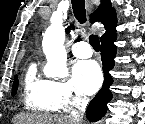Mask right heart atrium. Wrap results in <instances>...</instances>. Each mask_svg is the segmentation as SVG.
I'll list each match as a JSON object with an SVG mask.
<instances>
[{
  "label": "right heart atrium",
  "mask_w": 145,
  "mask_h": 124,
  "mask_svg": "<svg viewBox=\"0 0 145 124\" xmlns=\"http://www.w3.org/2000/svg\"><path fill=\"white\" fill-rule=\"evenodd\" d=\"M51 99L59 111L69 112L86 103V96L72 79L49 80Z\"/></svg>",
  "instance_id": "d8ad5b80"
}]
</instances>
